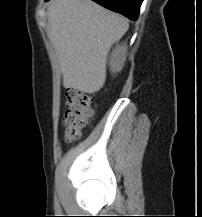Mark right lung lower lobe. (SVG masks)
Instances as JSON below:
<instances>
[{
  "instance_id": "obj_1",
  "label": "right lung lower lobe",
  "mask_w": 202,
  "mask_h": 217,
  "mask_svg": "<svg viewBox=\"0 0 202 217\" xmlns=\"http://www.w3.org/2000/svg\"><path fill=\"white\" fill-rule=\"evenodd\" d=\"M49 1V0H46ZM100 5L118 12L135 21L139 15V9L143 0H93Z\"/></svg>"
}]
</instances>
